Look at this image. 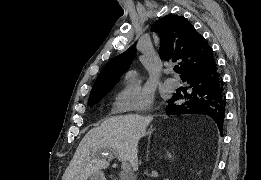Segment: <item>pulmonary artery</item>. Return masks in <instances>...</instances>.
Instances as JSON below:
<instances>
[{
	"instance_id": "obj_1",
	"label": "pulmonary artery",
	"mask_w": 261,
	"mask_h": 180,
	"mask_svg": "<svg viewBox=\"0 0 261 180\" xmlns=\"http://www.w3.org/2000/svg\"><path fill=\"white\" fill-rule=\"evenodd\" d=\"M167 74H171L172 73V69H166L165 70ZM165 85L169 88V89H176L179 86V82L177 79L171 77L168 78L165 82Z\"/></svg>"
}]
</instances>
